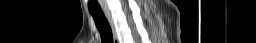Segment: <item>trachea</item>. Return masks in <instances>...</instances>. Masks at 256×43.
<instances>
[{"label": "trachea", "mask_w": 256, "mask_h": 43, "mask_svg": "<svg viewBox=\"0 0 256 43\" xmlns=\"http://www.w3.org/2000/svg\"><path fill=\"white\" fill-rule=\"evenodd\" d=\"M89 12L93 16L96 27L99 30V33L101 36V42L113 43L112 29L103 11L101 9L100 10L89 9Z\"/></svg>", "instance_id": "obj_1"}]
</instances>
